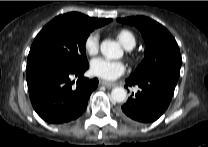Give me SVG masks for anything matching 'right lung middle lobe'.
<instances>
[{
  "mask_svg": "<svg viewBox=\"0 0 208 147\" xmlns=\"http://www.w3.org/2000/svg\"><path fill=\"white\" fill-rule=\"evenodd\" d=\"M95 26L71 19H53L36 36L27 67L60 62L75 67L88 65L85 43Z\"/></svg>",
  "mask_w": 208,
  "mask_h": 147,
  "instance_id": "obj_1",
  "label": "right lung middle lobe"
}]
</instances>
